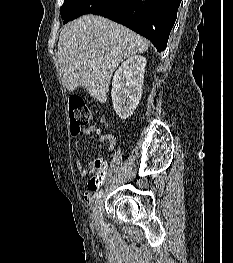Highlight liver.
Instances as JSON below:
<instances>
[{"label":"liver","instance_id":"6515ba94","mask_svg":"<svg viewBox=\"0 0 233 263\" xmlns=\"http://www.w3.org/2000/svg\"><path fill=\"white\" fill-rule=\"evenodd\" d=\"M148 46L146 39L123 25L100 16H82L60 33L58 64L63 84L69 91L84 87L95 100L105 103L115 69Z\"/></svg>","mask_w":233,"mask_h":263}]
</instances>
